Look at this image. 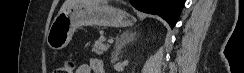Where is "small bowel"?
Returning a JSON list of instances; mask_svg holds the SVG:
<instances>
[{
	"label": "small bowel",
	"mask_w": 244,
	"mask_h": 73,
	"mask_svg": "<svg viewBox=\"0 0 244 73\" xmlns=\"http://www.w3.org/2000/svg\"><path fill=\"white\" fill-rule=\"evenodd\" d=\"M104 63L102 60L92 58L88 63L81 64L76 73H104Z\"/></svg>",
	"instance_id": "small-bowel-1"
}]
</instances>
